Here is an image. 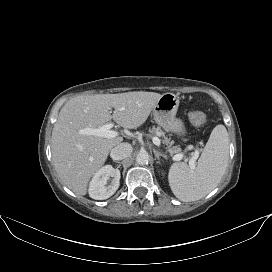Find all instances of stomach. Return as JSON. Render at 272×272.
<instances>
[{
  "instance_id": "1",
  "label": "stomach",
  "mask_w": 272,
  "mask_h": 272,
  "mask_svg": "<svg viewBox=\"0 0 272 272\" xmlns=\"http://www.w3.org/2000/svg\"><path fill=\"white\" fill-rule=\"evenodd\" d=\"M178 107L179 97L173 93H165L154 106L153 117L165 131L185 135V124L182 119L176 117Z\"/></svg>"
}]
</instances>
